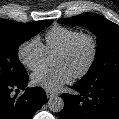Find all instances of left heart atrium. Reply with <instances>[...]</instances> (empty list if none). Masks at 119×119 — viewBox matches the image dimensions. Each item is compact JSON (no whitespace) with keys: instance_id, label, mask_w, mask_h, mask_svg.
Returning a JSON list of instances; mask_svg holds the SVG:
<instances>
[{"instance_id":"obj_1","label":"left heart atrium","mask_w":119,"mask_h":119,"mask_svg":"<svg viewBox=\"0 0 119 119\" xmlns=\"http://www.w3.org/2000/svg\"><path fill=\"white\" fill-rule=\"evenodd\" d=\"M74 75L65 67L55 69L44 68L35 72L31 79L33 84L48 91H58L65 84L72 81Z\"/></svg>"}]
</instances>
